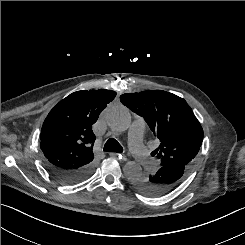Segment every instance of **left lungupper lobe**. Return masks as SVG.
Instances as JSON below:
<instances>
[{"label": "left lung upper lobe", "instance_id": "left-lung-upper-lobe-1", "mask_svg": "<svg viewBox=\"0 0 245 245\" xmlns=\"http://www.w3.org/2000/svg\"><path fill=\"white\" fill-rule=\"evenodd\" d=\"M120 101L144 117L160 142L152 152L160 166L178 163L191 167L203 140V129L186 101L172 93L154 90L127 93Z\"/></svg>", "mask_w": 245, "mask_h": 245}]
</instances>
